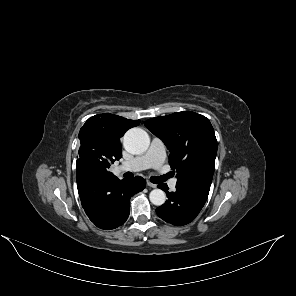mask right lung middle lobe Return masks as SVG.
<instances>
[{
	"label": "right lung middle lobe",
	"instance_id": "dd1d6c3e",
	"mask_svg": "<svg viewBox=\"0 0 296 296\" xmlns=\"http://www.w3.org/2000/svg\"><path fill=\"white\" fill-rule=\"evenodd\" d=\"M79 159L88 161L96 172L101 175H112V173L108 171V168L114 160L110 153L101 147L91 144L81 145L79 149Z\"/></svg>",
	"mask_w": 296,
	"mask_h": 296
}]
</instances>
